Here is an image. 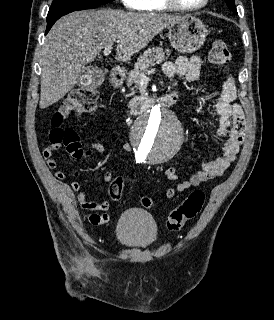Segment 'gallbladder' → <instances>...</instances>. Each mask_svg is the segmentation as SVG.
<instances>
[{"mask_svg": "<svg viewBox=\"0 0 274 320\" xmlns=\"http://www.w3.org/2000/svg\"><path fill=\"white\" fill-rule=\"evenodd\" d=\"M83 78H78L82 90H95L96 85L105 82V68H83Z\"/></svg>", "mask_w": 274, "mask_h": 320, "instance_id": "gallbladder-1", "label": "gallbladder"}]
</instances>
